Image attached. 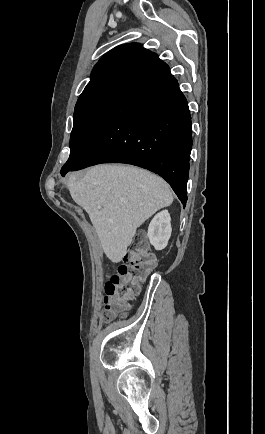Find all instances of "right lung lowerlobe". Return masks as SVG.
Here are the masks:
<instances>
[{"instance_id": "obj_1", "label": "right lung lower lobe", "mask_w": 265, "mask_h": 434, "mask_svg": "<svg viewBox=\"0 0 265 434\" xmlns=\"http://www.w3.org/2000/svg\"><path fill=\"white\" fill-rule=\"evenodd\" d=\"M192 122L169 67L157 59L127 84L93 143L73 167L126 163L157 173L185 207Z\"/></svg>"}]
</instances>
